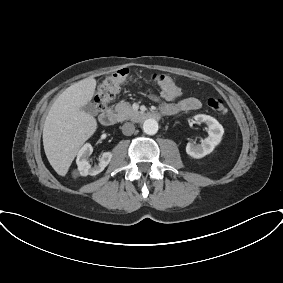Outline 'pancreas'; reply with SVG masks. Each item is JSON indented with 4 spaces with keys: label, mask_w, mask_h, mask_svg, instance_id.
I'll list each match as a JSON object with an SVG mask.
<instances>
[{
    "label": "pancreas",
    "mask_w": 283,
    "mask_h": 283,
    "mask_svg": "<svg viewBox=\"0 0 283 283\" xmlns=\"http://www.w3.org/2000/svg\"><path fill=\"white\" fill-rule=\"evenodd\" d=\"M114 112L116 113L119 121L128 120L137 114V112L132 109L130 103L128 102H120L115 105Z\"/></svg>",
    "instance_id": "cf45deb5"
}]
</instances>
